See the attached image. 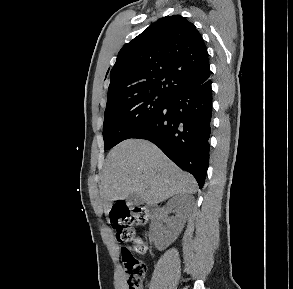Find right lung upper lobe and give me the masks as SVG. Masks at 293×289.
Wrapping results in <instances>:
<instances>
[{
    "instance_id": "obj_1",
    "label": "right lung upper lobe",
    "mask_w": 293,
    "mask_h": 289,
    "mask_svg": "<svg viewBox=\"0 0 293 289\" xmlns=\"http://www.w3.org/2000/svg\"><path fill=\"white\" fill-rule=\"evenodd\" d=\"M209 77L207 49L194 24L180 15L166 16L118 53L110 71L107 105L145 93L169 98Z\"/></svg>"
}]
</instances>
